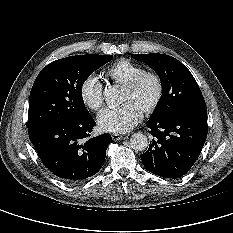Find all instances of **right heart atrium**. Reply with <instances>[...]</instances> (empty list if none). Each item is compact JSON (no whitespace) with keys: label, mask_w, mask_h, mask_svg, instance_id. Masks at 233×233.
<instances>
[{"label":"right heart atrium","mask_w":233,"mask_h":233,"mask_svg":"<svg viewBox=\"0 0 233 233\" xmlns=\"http://www.w3.org/2000/svg\"><path fill=\"white\" fill-rule=\"evenodd\" d=\"M80 95L87 108L97 113L104 111V87L97 76H89L82 82Z\"/></svg>","instance_id":"1"}]
</instances>
